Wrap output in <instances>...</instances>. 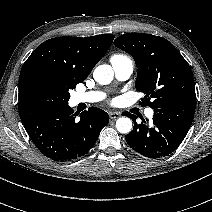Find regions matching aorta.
<instances>
[{"label": "aorta", "instance_id": "aorta-1", "mask_svg": "<svg viewBox=\"0 0 212 212\" xmlns=\"http://www.w3.org/2000/svg\"><path fill=\"white\" fill-rule=\"evenodd\" d=\"M113 70L110 65H99L93 72V78L99 84L106 85L113 80ZM118 132L128 134L132 130V120L128 117H120L116 121Z\"/></svg>", "mask_w": 212, "mask_h": 212}]
</instances>
